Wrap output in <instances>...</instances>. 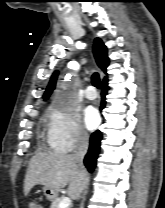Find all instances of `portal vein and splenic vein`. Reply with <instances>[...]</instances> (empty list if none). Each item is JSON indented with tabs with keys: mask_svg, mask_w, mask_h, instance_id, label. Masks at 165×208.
I'll return each mask as SVG.
<instances>
[{
	"mask_svg": "<svg viewBox=\"0 0 165 208\" xmlns=\"http://www.w3.org/2000/svg\"><path fill=\"white\" fill-rule=\"evenodd\" d=\"M71 203V199L69 197H64L59 203V208H67Z\"/></svg>",
	"mask_w": 165,
	"mask_h": 208,
	"instance_id": "1",
	"label": "portal vein and splenic vein"
}]
</instances>
